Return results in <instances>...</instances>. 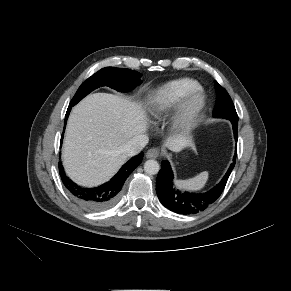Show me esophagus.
<instances>
[{"label": "esophagus", "instance_id": "obj_1", "mask_svg": "<svg viewBox=\"0 0 291 291\" xmlns=\"http://www.w3.org/2000/svg\"><path fill=\"white\" fill-rule=\"evenodd\" d=\"M159 155H160V151L157 148H150L146 152V157L150 158V159H155V158L159 157Z\"/></svg>", "mask_w": 291, "mask_h": 291}]
</instances>
